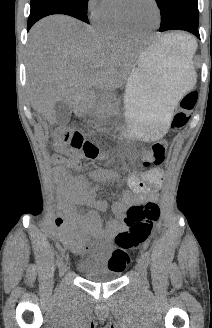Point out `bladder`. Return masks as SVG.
<instances>
[{
    "mask_svg": "<svg viewBox=\"0 0 212 328\" xmlns=\"http://www.w3.org/2000/svg\"><path fill=\"white\" fill-rule=\"evenodd\" d=\"M77 269L86 280L96 283L115 281L122 274L121 271L105 269L92 259L79 262Z\"/></svg>",
    "mask_w": 212,
    "mask_h": 328,
    "instance_id": "bladder-1",
    "label": "bladder"
}]
</instances>
